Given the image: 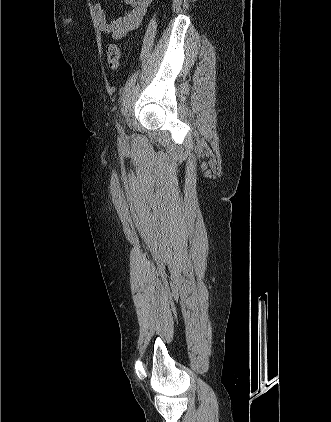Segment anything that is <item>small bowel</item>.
I'll list each match as a JSON object with an SVG mask.
<instances>
[{
	"label": "small bowel",
	"instance_id": "c3829d8e",
	"mask_svg": "<svg viewBox=\"0 0 331 422\" xmlns=\"http://www.w3.org/2000/svg\"><path fill=\"white\" fill-rule=\"evenodd\" d=\"M152 0H124L129 9L111 22L100 2L95 3V17L100 32L111 35L115 40H123L127 34L138 27Z\"/></svg>",
	"mask_w": 331,
	"mask_h": 422
}]
</instances>
